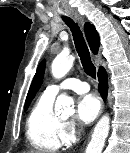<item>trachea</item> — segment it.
Listing matches in <instances>:
<instances>
[{
	"mask_svg": "<svg viewBox=\"0 0 130 153\" xmlns=\"http://www.w3.org/2000/svg\"><path fill=\"white\" fill-rule=\"evenodd\" d=\"M63 20L65 21V23L67 24V26L70 28L72 32L75 47L80 57L85 73L95 79L96 78V68L94 64L92 63L89 49L87 47V44L85 42V39L83 37V34L78 24L75 23L69 17H65L63 18Z\"/></svg>",
	"mask_w": 130,
	"mask_h": 153,
	"instance_id": "1",
	"label": "trachea"
}]
</instances>
